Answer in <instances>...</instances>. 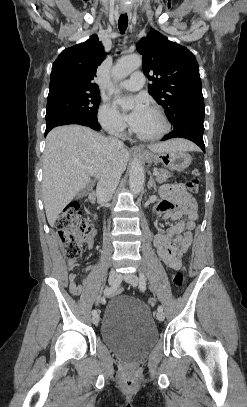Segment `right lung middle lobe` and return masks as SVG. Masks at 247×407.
I'll return each mask as SVG.
<instances>
[{
    "instance_id": "1",
    "label": "right lung middle lobe",
    "mask_w": 247,
    "mask_h": 407,
    "mask_svg": "<svg viewBox=\"0 0 247 407\" xmlns=\"http://www.w3.org/2000/svg\"><path fill=\"white\" fill-rule=\"evenodd\" d=\"M99 104V91L63 89L51 92L47 99L46 122L60 116L96 121Z\"/></svg>"
}]
</instances>
